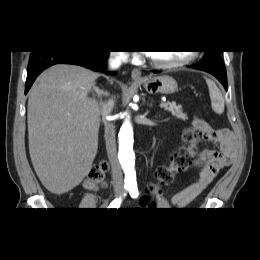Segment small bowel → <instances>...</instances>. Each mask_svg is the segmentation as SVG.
Listing matches in <instances>:
<instances>
[{
    "mask_svg": "<svg viewBox=\"0 0 260 260\" xmlns=\"http://www.w3.org/2000/svg\"><path fill=\"white\" fill-rule=\"evenodd\" d=\"M193 126L206 141L217 145V149H205L197 154L193 167L198 172L199 179L172 197L171 203L177 208L190 205L215 179L218 172L231 164L237 150L236 138L230 129L214 128L199 118L193 120ZM148 203L149 199L144 196L141 204L146 206Z\"/></svg>",
    "mask_w": 260,
    "mask_h": 260,
    "instance_id": "obj_1",
    "label": "small bowel"
}]
</instances>
